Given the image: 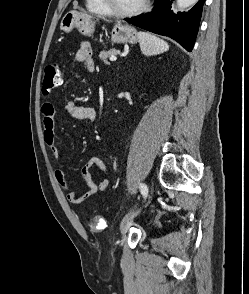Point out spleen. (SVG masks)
Here are the masks:
<instances>
[{
  "label": "spleen",
  "mask_w": 249,
  "mask_h": 294,
  "mask_svg": "<svg viewBox=\"0 0 249 294\" xmlns=\"http://www.w3.org/2000/svg\"><path fill=\"white\" fill-rule=\"evenodd\" d=\"M138 38L141 51L146 56L158 55L169 49L167 42L149 32L140 31Z\"/></svg>",
  "instance_id": "1"
}]
</instances>
